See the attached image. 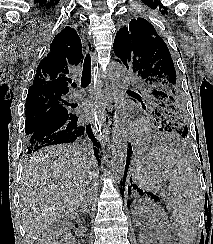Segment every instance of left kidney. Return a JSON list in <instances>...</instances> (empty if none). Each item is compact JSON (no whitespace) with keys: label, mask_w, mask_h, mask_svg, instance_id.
I'll use <instances>...</instances> for the list:
<instances>
[{"label":"left kidney","mask_w":213,"mask_h":244,"mask_svg":"<svg viewBox=\"0 0 213 244\" xmlns=\"http://www.w3.org/2000/svg\"><path fill=\"white\" fill-rule=\"evenodd\" d=\"M132 214L137 225H144L147 218L152 221L156 229L154 236L158 239L159 244H172L164 215L152 201L147 199L135 200ZM140 242L148 244L144 236H141Z\"/></svg>","instance_id":"obj_1"}]
</instances>
